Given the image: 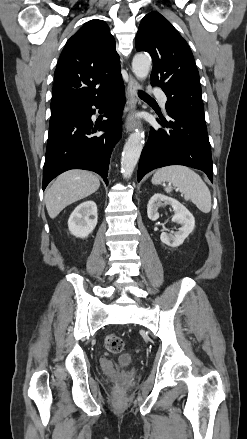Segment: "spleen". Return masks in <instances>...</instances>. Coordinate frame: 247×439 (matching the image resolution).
Wrapping results in <instances>:
<instances>
[{
  "label": "spleen",
  "instance_id": "obj_1",
  "mask_svg": "<svg viewBox=\"0 0 247 439\" xmlns=\"http://www.w3.org/2000/svg\"><path fill=\"white\" fill-rule=\"evenodd\" d=\"M162 182L172 185V187L165 188L167 193L175 187L184 194L185 200H191L201 212L207 214L211 211L210 191L201 177L192 169L181 165L158 169L152 177V183L157 185Z\"/></svg>",
  "mask_w": 247,
  "mask_h": 439
}]
</instances>
